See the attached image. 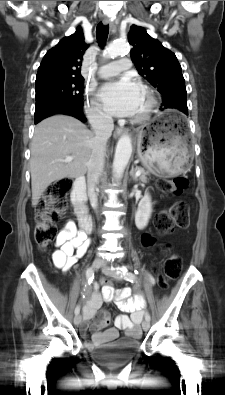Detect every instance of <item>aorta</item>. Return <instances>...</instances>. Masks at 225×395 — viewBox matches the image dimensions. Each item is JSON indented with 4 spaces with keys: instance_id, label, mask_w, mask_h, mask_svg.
Masks as SVG:
<instances>
[{
    "instance_id": "1",
    "label": "aorta",
    "mask_w": 225,
    "mask_h": 395,
    "mask_svg": "<svg viewBox=\"0 0 225 395\" xmlns=\"http://www.w3.org/2000/svg\"><path fill=\"white\" fill-rule=\"evenodd\" d=\"M129 45L125 41H114L104 51V56L107 58H114L120 54L128 53ZM132 154V141L129 135H123L117 142L114 160H113V177L115 180H120L123 176L124 170L129 162Z\"/></svg>"
}]
</instances>
